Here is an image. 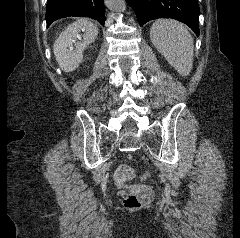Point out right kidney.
<instances>
[{"label": "right kidney", "instance_id": "1", "mask_svg": "<svg viewBox=\"0 0 240 238\" xmlns=\"http://www.w3.org/2000/svg\"><path fill=\"white\" fill-rule=\"evenodd\" d=\"M81 31L83 36L80 35ZM97 35V26L87 19H78L70 24L54 44V54L61 69L65 72L75 70L82 62L83 51L95 41Z\"/></svg>", "mask_w": 240, "mask_h": 238}]
</instances>
